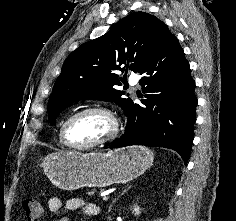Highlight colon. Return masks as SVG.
<instances>
[{"label":"colon","instance_id":"colon-1","mask_svg":"<svg viewBox=\"0 0 236 221\" xmlns=\"http://www.w3.org/2000/svg\"><path fill=\"white\" fill-rule=\"evenodd\" d=\"M23 210L28 221H39L44 212V205L35 198H29L23 202Z\"/></svg>","mask_w":236,"mask_h":221}]
</instances>
